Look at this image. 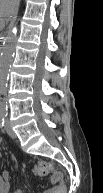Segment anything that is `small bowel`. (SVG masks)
I'll use <instances>...</instances> for the list:
<instances>
[{
	"label": "small bowel",
	"instance_id": "obj_1",
	"mask_svg": "<svg viewBox=\"0 0 103 193\" xmlns=\"http://www.w3.org/2000/svg\"><path fill=\"white\" fill-rule=\"evenodd\" d=\"M10 178L11 173L9 171H3L1 174V186H0V192L1 193H9L10 192ZM13 193H24L22 190H15ZM44 193H62V188L55 185L47 190L44 191Z\"/></svg>",
	"mask_w": 103,
	"mask_h": 193
}]
</instances>
